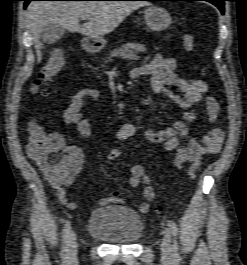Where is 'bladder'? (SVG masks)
Segmentation results:
<instances>
[{"label": "bladder", "mask_w": 247, "mask_h": 265, "mask_svg": "<svg viewBox=\"0 0 247 265\" xmlns=\"http://www.w3.org/2000/svg\"><path fill=\"white\" fill-rule=\"evenodd\" d=\"M143 220L131 208L107 205L92 210L87 233L114 244H134L143 235Z\"/></svg>", "instance_id": "1"}]
</instances>
